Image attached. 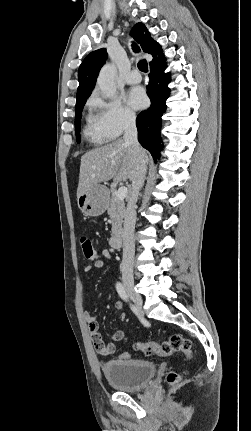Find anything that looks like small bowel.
Segmentation results:
<instances>
[{
    "label": "small bowel",
    "mask_w": 251,
    "mask_h": 431,
    "mask_svg": "<svg viewBox=\"0 0 251 431\" xmlns=\"http://www.w3.org/2000/svg\"><path fill=\"white\" fill-rule=\"evenodd\" d=\"M102 256L111 259V253L108 250L102 251ZM104 267V262L102 260H96L92 264H88L84 267L83 272L85 274H90L94 269H99ZM115 308L120 314V318L122 321L125 319V314L123 313V304L121 302L115 303ZM84 319L87 323L88 330L90 333L91 341L94 346V349L97 353L101 355H110L115 352L116 345L115 342L121 341L126 337V332L123 330H118L114 332L111 336L112 342L105 343L101 333L99 332V323L96 318L89 312L86 311L84 313Z\"/></svg>",
    "instance_id": "obj_1"
}]
</instances>
